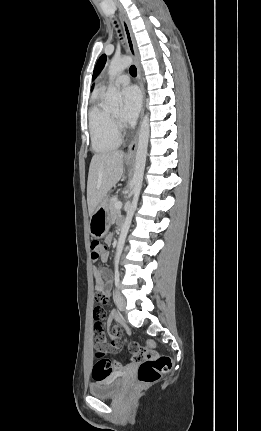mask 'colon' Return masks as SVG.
Returning a JSON list of instances; mask_svg holds the SVG:
<instances>
[{
	"instance_id": "colon-1",
	"label": "colon",
	"mask_w": 261,
	"mask_h": 431,
	"mask_svg": "<svg viewBox=\"0 0 261 431\" xmlns=\"http://www.w3.org/2000/svg\"><path fill=\"white\" fill-rule=\"evenodd\" d=\"M91 250L92 259L99 260L108 254V244L106 242L93 241L91 243ZM133 344L131 343L129 346ZM95 355L97 362L92 371V378L95 383H104L106 379L110 378V373H120L122 371L123 363L120 360H116L114 363L109 362L103 357L101 351H96ZM133 359L139 362L138 380L140 386H148L156 383L172 367L171 358L156 351L155 344L152 341L147 342L144 349L139 348L136 354L133 355Z\"/></svg>"
}]
</instances>
